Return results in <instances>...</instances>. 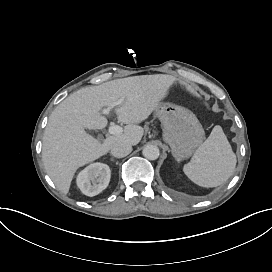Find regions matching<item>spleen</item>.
<instances>
[{"mask_svg": "<svg viewBox=\"0 0 272 272\" xmlns=\"http://www.w3.org/2000/svg\"><path fill=\"white\" fill-rule=\"evenodd\" d=\"M236 157L220 126L198 147L183 166L185 175L201 187H217L233 173Z\"/></svg>", "mask_w": 272, "mask_h": 272, "instance_id": "spleen-1", "label": "spleen"}]
</instances>
